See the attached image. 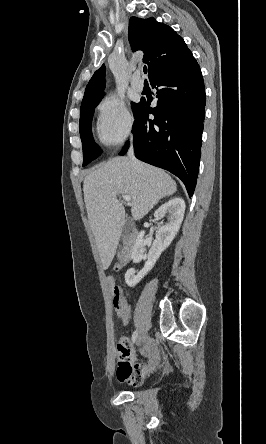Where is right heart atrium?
Here are the masks:
<instances>
[{"mask_svg":"<svg viewBox=\"0 0 266 444\" xmlns=\"http://www.w3.org/2000/svg\"><path fill=\"white\" fill-rule=\"evenodd\" d=\"M132 116L122 99L106 96L97 108V130L100 141L110 147L120 145L131 133Z\"/></svg>","mask_w":266,"mask_h":444,"instance_id":"obj_1","label":"right heart atrium"}]
</instances>
